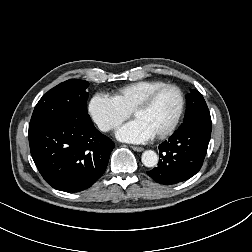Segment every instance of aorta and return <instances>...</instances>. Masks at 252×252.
<instances>
[{"label":"aorta","mask_w":252,"mask_h":252,"mask_svg":"<svg viewBox=\"0 0 252 252\" xmlns=\"http://www.w3.org/2000/svg\"><path fill=\"white\" fill-rule=\"evenodd\" d=\"M141 160L144 166L148 168L155 167L158 164V156L153 150L144 151Z\"/></svg>","instance_id":"1"}]
</instances>
